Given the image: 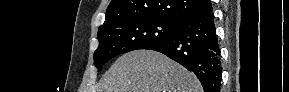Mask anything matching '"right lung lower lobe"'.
<instances>
[{
	"instance_id": "obj_1",
	"label": "right lung lower lobe",
	"mask_w": 289,
	"mask_h": 92,
	"mask_svg": "<svg viewBox=\"0 0 289 92\" xmlns=\"http://www.w3.org/2000/svg\"><path fill=\"white\" fill-rule=\"evenodd\" d=\"M144 49L161 52L193 71L204 92H219L222 68L212 9L183 20L172 37Z\"/></svg>"
}]
</instances>
